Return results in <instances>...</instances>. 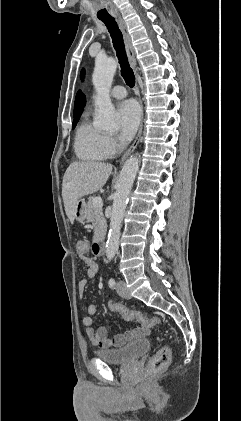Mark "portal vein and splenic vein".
Instances as JSON below:
<instances>
[{"mask_svg": "<svg viewBox=\"0 0 241 421\" xmlns=\"http://www.w3.org/2000/svg\"><path fill=\"white\" fill-rule=\"evenodd\" d=\"M93 205H94L95 207H102V206H103V201H102V198H101V197H95V198L93 199Z\"/></svg>", "mask_w": 241, "mask_h": 421, "instance_id": "obj_1", "label": "portal vein and splenic vein"}]
</instances>
